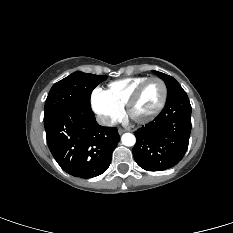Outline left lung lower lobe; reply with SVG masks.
<instances>
[{
	"instance_id": "left-lung-lower-lobe-1",
	"label": "left lung lower lobe",
	"mask_w": 233,
	"mask_h": 233,
	"mask_svg": "<svg viewBox=\"0 0 233 233\" xmlns=\"http://www.w3.org/2000/svg\"><path fill=\"white\" fill-rule=\"evenodd\" d=\"M190 132L191 105L187 94L182 93L167 100L161 113L135 132V161L147 171L175 166L187 151Z\"/></svg>"
}]
</instances>
